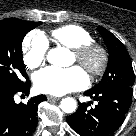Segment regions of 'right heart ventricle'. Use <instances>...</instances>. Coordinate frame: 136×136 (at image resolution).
<instances>
[{"label": "right heart ventricle", "mask_w": 136, "mask_h": 136, "mask_svg": "<svg viewBox=\"0 0 136 136\" xmlns=\"http://www.w3.org/2000/svg\"><path fill=\"white\" fill-rule=\"evenodd\" d=\"M51 34L57 43L71 49L93 42L92 34L78 24L60 26L53 29Z\"/></svg>", "instance_id": "e07e8e85"}]
</instances>
